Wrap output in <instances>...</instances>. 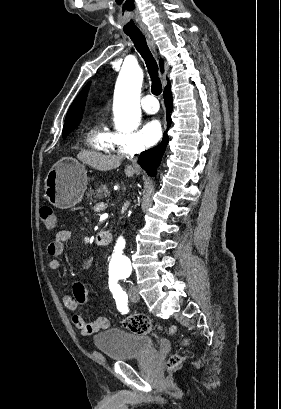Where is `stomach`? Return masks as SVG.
I'll return each mask as SVG.
<instances>
[{"mask_svg":"<svg viewBox=\"0 0 281 409\" xmlns=\"http://www.w3.org/2000/svg\"><path fill=\"white\" fill-rule=\"evenodd\" d=\"M86 188V168L72 156L59 158L45 178V196L57 209L75 207Z\"/></svg>","mask_w":281,"mask_h":409,"instance_id":"obj_1","label":"stomach"}]
</instances>
